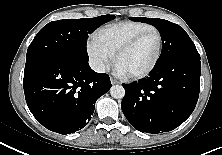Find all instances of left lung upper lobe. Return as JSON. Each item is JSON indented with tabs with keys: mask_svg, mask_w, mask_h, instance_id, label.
I'll return each mask as SVG.
<instances>
[{
	"mask_svg": "<svg viewBox=\"0 0 222 155\" xmlns=\"http://www.w3.org/2000/svg\"><path fill=\"white\" fill-rule=\"evenodd\" d=\"M131 19L152 24L160 31L162 51L156 64L175 57L200 58L193 41L179 25L159 18L131 17Z\"/></svg>",
	"mask_w": 222,
	"mask_h": 155,
	"instance_id": "1",
	"label": "left lung upper lobe"
}]
</instances>
